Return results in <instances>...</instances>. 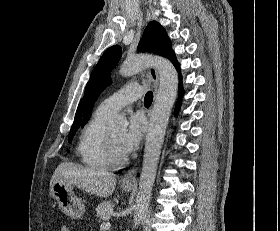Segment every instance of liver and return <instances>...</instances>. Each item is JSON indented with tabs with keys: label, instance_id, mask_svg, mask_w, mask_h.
Here are the masks:
<instances>
[{
	"label": "liver",
	"instance_id": "1",
	"mask_svg": "<svg viewBox=\"0 0 280 231\" xmlns=\"http://www.w3.org/2000/svg\"><path fill=\"white\" fill-rule=\"evenodd\" d=\"M67 181V183H73L77 185L79 189H84L91 195H99V197H109L112 195L115 185L116 177L114 173L104 171V173H97L90 167H83L78 163H69V161H63L58 167H56L52 181Z\"/></svg>",
	"mask_w": 280,
	"mask_h": 231
}]
</instances>
